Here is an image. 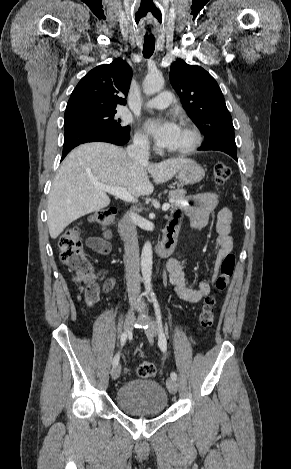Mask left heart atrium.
Masks as SVG:
<instances>
[{
    "label": "left heart atrium",
    "instance_id": "39dd6f15",
    "mask_svg": "<svg viewBox=\"0 0 291 469\" xmlns=\"http://www.w3.org/2000/svg\"><path fill=\"white\" fill-rule=\"evenodd\" d=\"M179 126L170 118H151L145 122V130L161 147H169L174 141Z\"/></svg>",
    "mask_w": 291,
    "mask_h": 469
}]
</instances>
